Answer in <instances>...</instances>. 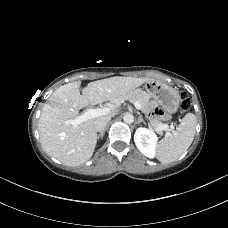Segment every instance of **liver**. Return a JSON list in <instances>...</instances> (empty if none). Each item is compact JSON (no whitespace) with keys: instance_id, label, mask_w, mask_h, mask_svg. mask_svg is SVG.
Returning a JSON list of instances; mask_svg holds the SVG:
<instances>
[{"instance_id":"obj_1","label":"liver","mask_w":228,"mask_h":228,"mask_svg":"<svg viewBox=\"0 0 228 228\" xmlns=\"http://www.w3.org/2000/svg\"><path fill=\"white\" fill-rule=\"evenodd\" d=\"M151 79L111 77L90 82L80 94V81L65 84L54 91L44 104L38 122L43 150L67 166H80L93 155L97 143L94 122L116 115L115 111L88 119L77 126L65 124L79 116L88 106L115 101L122 94L135 90Z\"/></svg>"}]
</instances>
